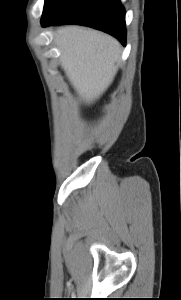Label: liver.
I'll use <instances>...</instances> for the list:
<instances>
[{
    "label": "liver",
    "mask_w": 181,
    "mask_h": 300,
    "mask_svg": "<svg viewBox=\"0 0 181 300\" xmlns=\"http://www.w3.org/2000/svg\"><path fill=\"white\" fill-rule=\"evenodd\" d=\"M60 63L79 96L90 102L102 95L117 73L121 48L96 30L63 26L55 32Z\"/></svg>",
    "instance_id": "obj_1"
}]
</instances>
